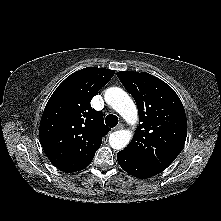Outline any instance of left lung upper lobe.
Listing matches in <instances>:
<instances>
[{"label": "left lung upper lobe", "instance_id": "left-lung-upper-lobe-1", "mask_svg": "<svg viewBox=\"0 0 221 221\" xmlns=\"http://www.w3.org/2000/svg\"><path fill=\"white\" fill-rule=\"evenodd\" d=\"M117 76L133 96L141 122L123 151L165 170L181 152L187 135L186 114L179 97L149 73L120 71Z\"/></svg>", "mask_w": 221, "mask_h": 221}]
</instances>
